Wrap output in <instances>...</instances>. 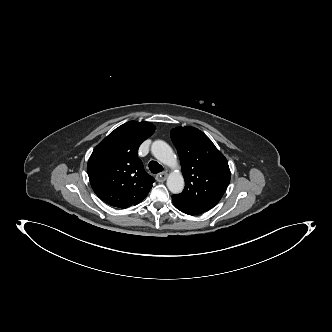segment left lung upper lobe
<instances>
[{"mask_svg": "<svg viewBox=\"0 0 332 332\" xmlns=\"http://www.w3.org/2000/svg\"><path fill=\"white\" fill-rule=\"evenodd\" d=\"M171 139L177 149L185 188L173 197L185 205L208 211L222 198L230 182L227 159L212 141L193 127L171 130Z\"/></svg>", "mask_w": 332, "mask_h": 332, "instance_id": "5c2ea615", "label": "left lung upper lobe"}]
</instances>
